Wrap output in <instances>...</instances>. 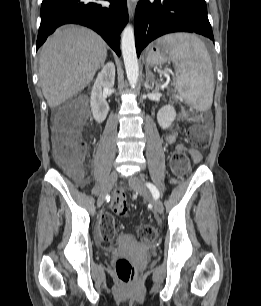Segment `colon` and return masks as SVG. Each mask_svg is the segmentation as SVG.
Instances as JSON below:
<instances>
[{
	"label": "colon",
	"mask_w": 261,
	"mask_h": 306,
	"mask_svg": "<svg viewBox=\"0 0 261 306\" xmlns=\"http://www.w3.org/2000/svg\"><path fill=\"white\" fill-rule=\"evenodd\" d=\"M85 121V113L80 103L63 106L54 118L56 161L73 176L81 178L82 164L85 155V143L81 138V128ZM190 144L197 149H205L210 142V130L206 124L192 125L188 130ZM170 167L178 177L184 176L191 167V161L183 148L174 151L170 158ZM111 208L118 214H125L127 201L124 194L116 195L111 201ZM100 235L104 242L110 243L115 237V220L110 212H105L99 222ZM138 236L145 242H154L158 238V229L154 225H146L139 229ZM114 270L123 282H131L136 275V268L128 259L116 261Z\"/></svg>",
	"instance_id": "1"
}]
</instances>
